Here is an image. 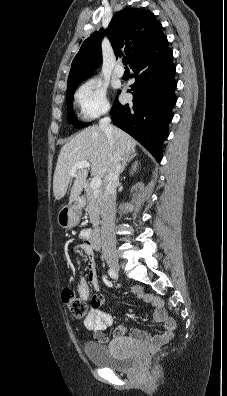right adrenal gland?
<instances>
[{
  "label": "right adrenal gland",
  "instance_id": "2a0ac1e0",
  "mask_svg": "<svg viewBox=\"0 0 227 396\" xmlns=\"http://www.w3.org/2000/svg\"><path fill=\"white\" fill-rule=\"evenodd\" d=\"M136 153L135 151H132L131 153L127 154L124 156L123 161H122V167L120 170V174L125 170V167L127 166V163L133 160L135 158Z\"/></svg>",
  "mask_w": 227,
  "mask_h": 396
}]
</instances>
